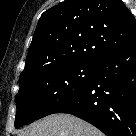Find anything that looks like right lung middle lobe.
I'll list each match as a JSON object with an SVG mask.
<instances>
[{
  "instance_id": "dd1d6c3e",
  "label": "right lung middle lobe",
  "mask_w": 136,
  "mask_h": 136,
  "mask_svg": "<svg viewBox=\"0 0 136 136\" xmlns=\"http://www.w3.org/2000/svg\"><path fill=\"white\" fill-rule=\"evenodd\" d=\"M96 64L53 66L20 82L16 95L15 127L30 124L52 114L81 93L92 81Z\"/></svg>"
}]
</instances>
